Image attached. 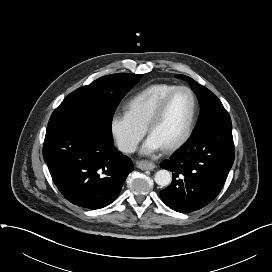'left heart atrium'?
<instances>
[{"label": "left heart atrium", "instance_id": "1", "mask_svg": "<svg viewBox=\"0 0 272 272\" xmlns=\"http://www.w3.org/2000/svg\"><path fill=\"white\" fill-rule=\"evenodd\" d=\"M161 148H163V146L160 144V142L155 137L150 135L142 147V153L150 154Z\"/></svg>", "mask_w": 272, "mask_h": 272}]
</instances>
